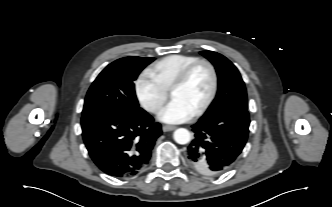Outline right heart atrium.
<instances>
[{
	"label": "right heart atrium",
	"mask_w": 332,
	"mask_h": 207,
	"mask_svg": "<svg viewBox=\"0 0 332 207\" xmlns=\"http://www.w3.org/2000/svg\"><path fill=\"white\" fill-rule=\"evenodd\" d=\"M135 90L143 108L152 114L158 113L167 99V92L146 73L137 78Z\"/></svg>",
	"instance_id": "right-heart-atrium-1"
}]
</instances>
